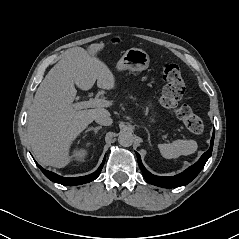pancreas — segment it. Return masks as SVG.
<instances>
[{
    "label": "pancreas",
    "instance_id": "pancreas-1",
    "mask_svg": "<svg viewBox=\"0 0 239 239\" xmlns=\"http://www.w3.org/2000/svg\"><path fill=\"white\" fill-rule=\"evenodd\" d=\"M130 99H133V100H135L136 98H133L132 96L130 97Z\"/></svg>",
    "mask_w": 239,
    "mask_h": 239
}]
</instances>
